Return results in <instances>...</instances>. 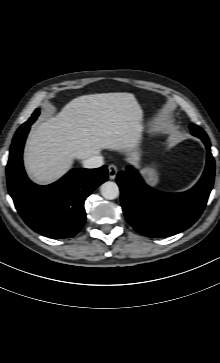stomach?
<instances>
[{"label":"stomach","mask_w":220,"mask_h":363,"mask_svg":"<svg viewBox=\"0 0 220 363\" xmlns=\"http://www.w3.org/2000/svg\"><path fill=\"white\" fill-rule=\"evenodd\" d=\"M140 174L149 186H155L157 184L158 173L155 168L145 167L140 171Z\"/></svg>","instance_id":"1"}]
</instances>
